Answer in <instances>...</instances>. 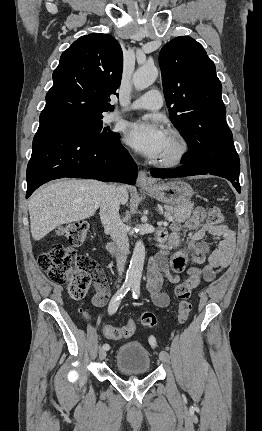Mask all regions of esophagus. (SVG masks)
Returning a JSON list of instances; mask_svg holds the SVG:
<instances>
[{"instance_id":"1","label":"esophagus","mask_w":262,"mask_h":431,"mask_svg":"<svg viewBox=\"0 0 262 431\" xmlns=\"http://www.w3.org/2000/svg\"><path fill=\"white\" fill-rule=\"evenodd\" d=\"M137 183L139 186H151V185H153V182L148 177L147 172L144 170H141L139 172V175L137 178Z\"/></svg>"}]
</instances>
